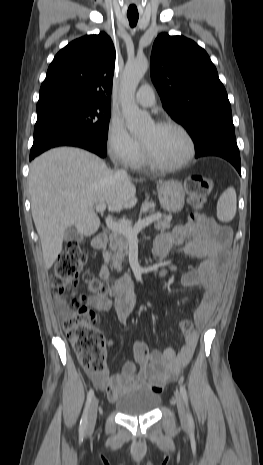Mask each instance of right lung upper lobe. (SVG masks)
<instances>
[{"instance_id": "cb5924a9", "label": "right lung upper lobe", "mask_w": 263, "mask_h": 465, "mask_svg": "<svg viewBox=\"0 0 263 465\" xmlns=\"http://www.w3.org/2000/svg\"><path fill=\"white\" fill-rule=\"evenodd\" d=\"M115 57L113 42L104 32L72 41L50 64L38 102L74 97L109 104Z\"/></svg>"}]
</instances>
